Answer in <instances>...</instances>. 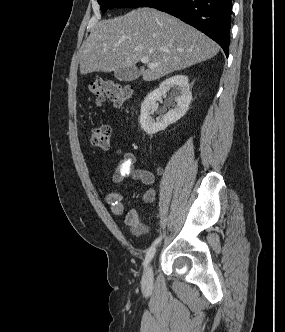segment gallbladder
<instances>
[{"label":"gallbladder","instance_id":"gallbladder-1","mask_svg":"<svg viewBox=\"0 0 285 332\" xmlns=\"http://www.w3.org/2000/svg\"><path fill=\"white\" fill-rule=\"evenodd\" d=\"M114 76L116 79L122 82H130V81H135L139 77V71L135 67H122V68H117L114 71Z\"/></svg>","mask_w":285,"mask_h":332}]
</instances>
